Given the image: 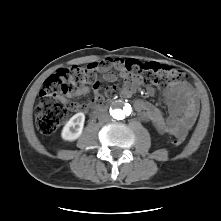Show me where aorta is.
Segmentation results:
<instances>
[{"label":"aorta","mask_w":221,"mask_h":221,"mask_svg":"<svg viewBox=\"0 0 221 221\" xmlns=\"http://www.w3.org/2000/svg\"><path fill=\"white\" fill-rule=\"evenodd\" d=\"M111 115L116 120L124 119L126 117V112L123 105L113 107V110H111Z\"/></svg>","instance_id":"1"}]
</instances>
